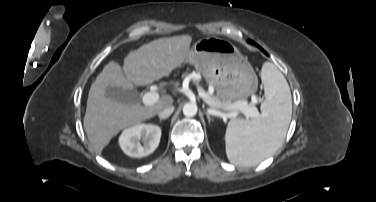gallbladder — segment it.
Returning a JSON list of instances; mask_svg holds the SVG:
<instances>
[{
	"instance_id": "gallbladder-1",
	"label": "gallbladder",
	"mask_w": 376,
	"mask_h": 202,
	"mask_svg": "<svg viewBox=\"0 0 376 202\" xmlns=\"http://www.w3.org/2000/svg\"><path fill=\"white\" fill-rule=\"evenodd\" d=\"M105 94L107 98L120 103H133L137 97L135 89H123L114 86H108Z\"/></svg>"
}]
</instances>
